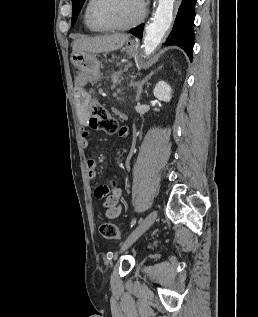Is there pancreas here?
I'll return each instance as SVG.
<instances>
[{
	"mask_svg": "<svg viewBox=\"0 0 258 317\" xmlns=\"http://www.w3.org/2000/svg\"><path fill=\"white\" fill-rule=\"evenodd\" d=\"M112 83H113L112 87L116 93H124L125 92V87L121 84L120 77H113Z\"/></svg>",
	"mask_w": 258,
	"mask_h": 317,
	"instance_id": "pancreas-1",
	"label": "pancreas"
}]
</instances>
